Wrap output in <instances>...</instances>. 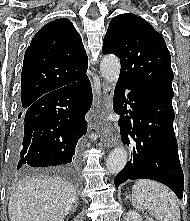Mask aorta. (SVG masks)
Segmentation results:
<instances>
[{"label":"aorta","mask_w":190,"mask_h":221,"mask_svg":"<svg viewBox=\"0 0 190 221\" xmlns=\"http://www.w3.org/2000/svg\"><path fill=\"white\" fill-rule=\"evenodd\" d=\"M120 61L115 55H106L100 63L102 76L109 83L116 84L120 74ZM127 162V152L124 148H116L107 159V169L112 174L119 173Z\"/></svg>","instance_id":"obj_1"}]
</instances>
